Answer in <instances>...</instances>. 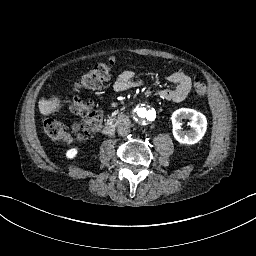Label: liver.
<instances>
[{
  "label": "liver",
  "instance_id": "1",
  "mask_svg": "<svg viewBox=\"0 0 256 256\" xmlns=\"http://www.w3.org/2000/svg\"><path fill=\"white\" fill-rule=\"evenodd\" d=\"M65 104L58 94H53L49 98L41 96L38 100V110L42 117H49L55 113H60Z\"/></svg>",
  "mask_w": 256,
  "mask_h": 256
}]
</instances>
